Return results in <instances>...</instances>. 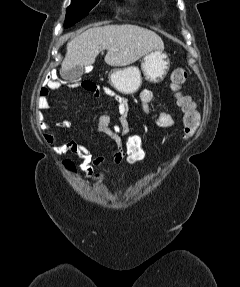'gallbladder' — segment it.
<instances>
[{
	"label": "gallbladder",
	"mask_w": 240,
	"mask_h": 287,
	"mask_svg": "<svg viewBox=\"0 0 240 287\" xmlns=\"http://www.w3.org/2000/svg\"><path fill=\"white\" fill-rule=\"evenodd\" d=\"M84 68L82 66H76L66 72H62V77L66 81L74 82L81 78Z\"/></svg>",
	"instance_id": "1"
}]
</instances>
